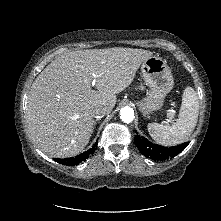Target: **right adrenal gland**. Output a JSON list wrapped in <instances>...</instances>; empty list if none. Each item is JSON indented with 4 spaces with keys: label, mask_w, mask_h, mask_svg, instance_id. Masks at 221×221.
<instances>
[{
    "label": "right adrenal gland",
    "mask_w": 221,
    "mask_h": 221,
    "mask_svg": "<svg viewBox=\"0 0 221 221\" xmlns=\"http://www.w3.org/2000/svg\"><path fill=\"white\" fill-rule=\"evenodd\" d=\"M97 120L94 121V125L96 124Z\"/></svg>",
    "instance_id": "right-adrenal-gland-1"
}]
</instances>
